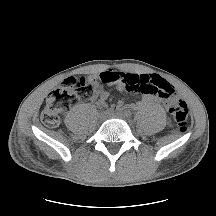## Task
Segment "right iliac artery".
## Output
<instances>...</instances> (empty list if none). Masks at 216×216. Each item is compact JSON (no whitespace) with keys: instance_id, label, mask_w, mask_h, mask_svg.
<instances>
[{"instance_id":"obj_1","label":"right iliac artery","mask_w":216,"mask_h":216,"mask_svg":"<svg viewBox=\"0 0 216 216\" xmlns=\"http://www.w3.org/2000/svg\"><path fill=\"white\" fill-rule=\"evenodd\" d=\"M114 112V109L113 108H109L106 110V113L107 114H112Z\"/></svg>"}]
</instances>
